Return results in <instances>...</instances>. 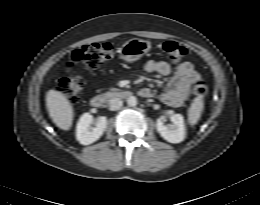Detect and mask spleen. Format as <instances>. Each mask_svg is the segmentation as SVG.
I'll list each match as a JSON object with an SVG mask.
<instances>
[{
  "label": "spleen",
  "mask_w": 260,
  "mask_h": 205,
  "mask_svg": "<svg viewBox=\"0 0 260 205\" xmlns=\"http://www.w3.org/2000/svg\"><path fill=\"white\" fill-rule=\"evenodd\" d=\"M204 108L202 96H198L192 102L188 110V121L191 126H194L199 121Z\"/></svg>",
  "instance_id": "obj_1"
}]
</instances>
